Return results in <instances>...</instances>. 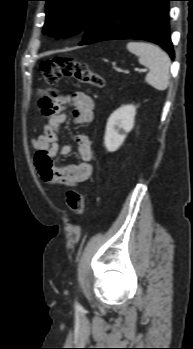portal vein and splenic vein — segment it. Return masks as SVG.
I'll return each instance as SVG.
<instances>
[{
  "mask_svg": "<svg viewBox=\"0 0 193 349\" xmlns=\"http://www.w3.org/2000/svg\"><path fill=\"white\" fill-rule=\"evenodd\" d=\"M135 71H143V72H146L147 69H139V68H135Z\"/></svg>",
  "mask_w": 193,
  "mask_h": 349,
  "instance_id": "obj_1",
  "label": "portal vein and splenic vein"
}]
</instances>
